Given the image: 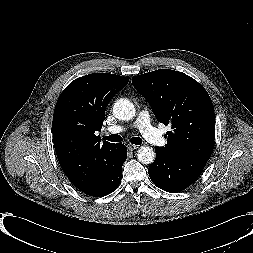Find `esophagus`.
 Returning a JSON list of instances; mask_svg holds the SVG:
<instances>
[{
    "mask_svg": "<svg viewBox=\"0 0 253 253\" xmlns=\"http://www.w3.org/2000/svg\"><path fill=\"white\" fill-rule=\"evenodd\" d=\"M127 147L130 151H134V150L138 149L139 146L133 145V144H128Z\"/></svg>",
    "mask_w": 253,
    "mask_h": 253,
    "instance_id": "1",
    "label": "esophagus"
}]
</instances>
